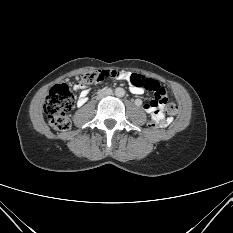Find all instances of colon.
<instances>
[{"label": "colon", "mask_w": 233, "mask_h": 233, "mask_svg": "<svg viewBox=\"0 0 233 233\" xmlns=\"http://www.w3.org/2000/svg\"><path fill=\"white\" fill-rule=\"evenodd\" d=\"M105 71L108 70L85 72L81 76V84L92 85L102 81L99 76ZM129 83L134 87L153 92L154 104H164V115L172 116L176 113L177 106L172 102H167L164 89L155 80L133 73L129 77ZM74 104V96L66 84L61 83L52 87L44 102V111L48 116L50 126L55 131L63 132L70 128L71 123L68 113L74 108ZM162 125L163 121L158 114H155L149 123L151 128Z\"/></svg>", "instance_id": "colon-1"}]
</instances>
